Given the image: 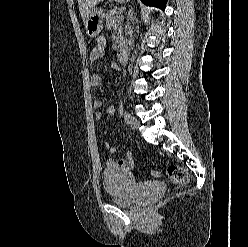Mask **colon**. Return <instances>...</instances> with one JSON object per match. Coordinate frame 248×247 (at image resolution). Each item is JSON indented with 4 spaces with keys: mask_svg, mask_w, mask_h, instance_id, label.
I'll list each match as a JSON object with an SVG mask.
<instances>
[{
    "mask_svg": "<svg viewBox=\"0 0 248 247\" xmlns=\"http://www.w3.org/2000/svg\"><path fill=\"white\" fill-rule=\"evenodd\" d=\"M167 173L170 179L177 185L184 186L189 182L188 172L179 165H169L167 168ZM151 176L156 178L159 174L156 171H152Z\"/></svg>",
    "mask_w": 248,
    "mask_h": 247,
    "instance_id": "5ec220e1",
    "label": "colon"
}]
</instances>
